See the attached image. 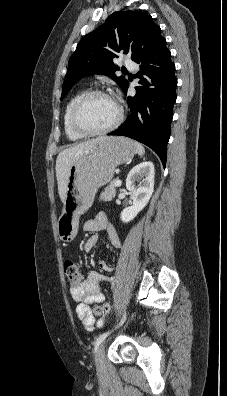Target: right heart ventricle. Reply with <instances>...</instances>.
<instances>
[{
  "instance_id": "obj_1",
  "label": "right heart ventricle",
  "mask_w": 227,
  "mask_h": 396,
  "mask_svg": "<svg viewBox=\"0 0 227 396\" xmlns=\"http://www.w3.org/2000/svg\"><path fill=\"white\" fill-rule=\"evenodd\" d=\"M81 93L78 92L76 93L74 96L71 97V99L68 101V103L66 104V107L64 109V113H63V128H64V132L67 136V138L71 141H78L81 140L84 135L79 134L78 132H76L70 122V115H71V109L72 106L75 102V100L78 98V96Z\"/></svg>"
}]
</instances>
